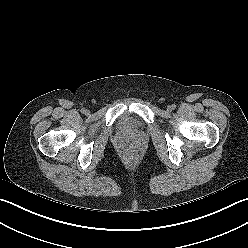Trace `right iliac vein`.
Wrapping results in <instances>:
<instances>
[{
	"label": "right iliac vein",
	"mask_w": 248,
	"mask_h": 248,
	"mask_svg": "<svg viewBox=\"0 0 248 248\" xmlns=\"http://www.w3.org/2000/svg\"><path fill=\"white\" fill-rule=\"evenodd\" d=\"M88 113H89V111H88V110H86L85 114H88Z\"/></svg>",
	"instance_id": "63e3f726"
}]
</instances>
